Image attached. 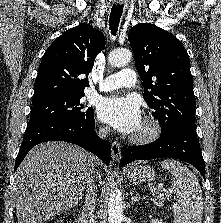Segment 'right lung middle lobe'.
<instances>
[{
	"label": "right lung middle lobe",
	"mask_w": 221,
	"mask_h": 223,
	"mask_svg": "<svg viewBox=\"0 0 221 223\" xmlns=\"http://www.w3.org/2000/svg\"><path fill=\"white\" fill-rule=\"evenodd\" d=\"M84 93L59 96L32 102L31 117L28 125H34L50 119L84 121L93 117V109L82 103Z\"/></svg>",
	"instance_id": "right-lung-middle-lobe-1"
}]
</instances>
